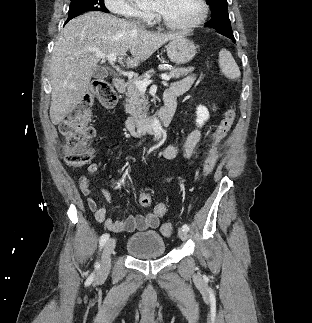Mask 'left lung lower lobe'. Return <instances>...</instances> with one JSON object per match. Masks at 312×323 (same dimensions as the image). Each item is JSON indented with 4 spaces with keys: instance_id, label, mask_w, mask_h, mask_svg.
<instances>
[{
    "instance_id": "1",
    "label": "left lung lower lobe",
    "mask_w": 312,
    "mask_h": 323,
    "mask_svg": "<svg viewBox=\"0 0 312 323\" xmlns=\"http://www.w3.org/2000/svg\"><path fill=\"white\" fill-rule=\"evenodd\" d=\"M223 35H225V36L229 37L230 39H232L233 41H235V38L233 35H226V34H223Z\"/></svg>"
}]
</instances>
